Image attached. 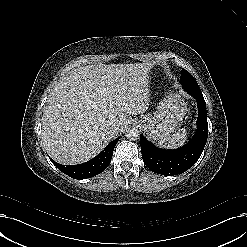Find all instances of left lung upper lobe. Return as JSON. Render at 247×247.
I'll return each mask as SVG.
<instances>
[{
  "label": "left lung upper lobe",
  "instance_id": "obj_1",
  "mask_svg": "<svg viewBox=\"0 0 247 247\" xmlns=\"http://www.w3.org/2000/svg\"><path fill=\"white\" fill-rule=\"evenodd\" d=\"M180 83L182 84V86L198 85V83L193 78V76L188 71H186L185 69H182Z\"/></svg>",
  "mask_w": 247,
  "mask_h": 247
}]
</instances>
